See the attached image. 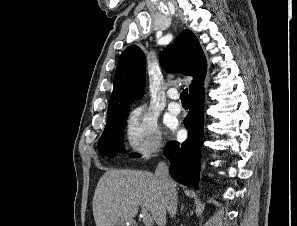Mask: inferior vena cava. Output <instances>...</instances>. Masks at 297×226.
<instances>
[{"instance_id":"inferior-vena-cava-1","label":"inferior vena cava","mask_w":297,"mask_h":226,"mask_svg":"<svg viewBox=\"0 0 297 226\" xmlns=\"http://www.w3.org/2000/svg\"><path fill=\"white\" fill-rule=\"evenodd\" d=\"M155 176L165 191L166 209L173 218L177 212L178 195L174 182L169 175V168L165 162L158 163L155 170Z\"/></svg>"}]
</instances>
